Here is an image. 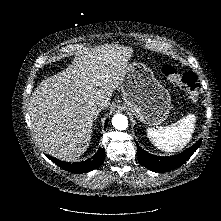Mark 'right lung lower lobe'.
<instances>
[{
  "instance_id": "obj_1",
  "label": "right lung lower lobe",
  "mask_w": 221,
  "mask_h": 221,
  "mask_svg": "<svg viewBox=\"0 0 221 221\" xmlns=\"http://www.w3.org/2000/svg\"><path fill=\"white\" fill-rule=\"evenodd\" d=\"M108 120L105 122V126L107 125ZM52 162L57 164L59 167L73 173H86L93 169L99 167L105 158V150L104 148H99L98 152L91 158L87 159L86 161L76 162V163H68L59 161L49 155H46Z\"/></svg>"
}]
</instances>
